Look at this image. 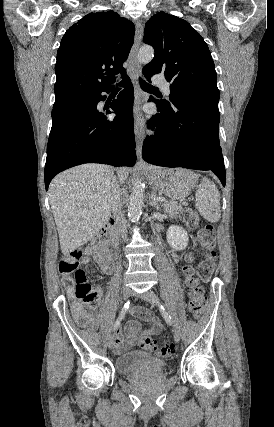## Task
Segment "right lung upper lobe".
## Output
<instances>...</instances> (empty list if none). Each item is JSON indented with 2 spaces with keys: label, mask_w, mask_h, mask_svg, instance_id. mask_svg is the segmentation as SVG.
I'll list each match as a JSON object with an SVG mask.
<instances>
[{
  "label": "right lung upper lobe",
  "mask_w": 274,
  "mask_h": 427,
  "mask_svg": "<svg viewBox=\"0 0 274 427\" xmlns=\"http://www.w3.org/2000/svg\"><path fill=\"white\" fill-rule=\"evenodd\" d=\"M134 24L114 11L90 13L63 36L55 65V103L111 88L133 44Z\"/></svg>",
  "instance_id": "obj_1"
}]
</instances>
